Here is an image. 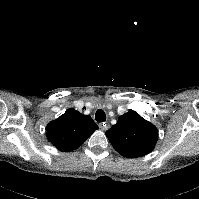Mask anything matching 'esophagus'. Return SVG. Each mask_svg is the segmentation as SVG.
I'll return each instance as SVG.
<instances>
[{
    "instance_id": "1",
    "label": "esophagus",
    "mask_w": 199,
    "mask_h": 199,
    "mask_svg": "<svg viewBox=\"0 0 199 199\" xmlns=\"http://www.w3.org/2000/svg\"><path fill=\"white\" fill-rule=\"evenodd\" d=\"M99 127L101 130L106 131L110 128V125L108 123L103 122L99 124Z\"/></svg>"
}]
</instances>
